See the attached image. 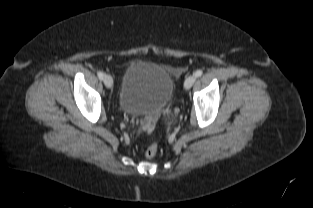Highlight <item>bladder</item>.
I'll use <instances>...</instances> for the list:
<instances>
[{
	"label": "bladder",
	"instance_id": "1",
	"mask_svg": "<svg viewBox=\"0 0 313 208\" xmlns=\"http://www.w3.org/2000/svg\"><path fill=\"white\" fill-rule=\"evenodd\" d=\"M173 92L174 82L163 68L134 61L124 70L118 105L129 115L159 116L169 105Z\"/></svg>",
	"mask_w": 313,
	"mask_h": 208
}]
</instances>
